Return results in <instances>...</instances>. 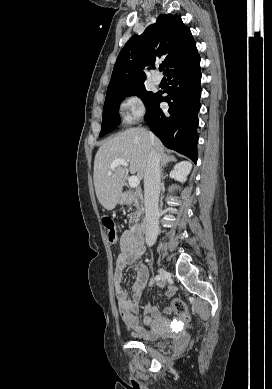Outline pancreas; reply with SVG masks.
<instances>
[{"instance_id": "obj_1", "label": "pancreas", "mask_w": 272, "mask_h": 389, "mask_svg": "<svg viewBox=\"0 0 272 389\" xmlns=\"http://www.w3.org/2000/svg\"><path fill=\"white\" fill-rule=\"evenodd\" d=\"M130 206H135L136 211L130 213V224L137 223L142 215L143 205L141 199L138 196L133 195L131 201L128 203Z\"/></svg>"}]
</instances>
